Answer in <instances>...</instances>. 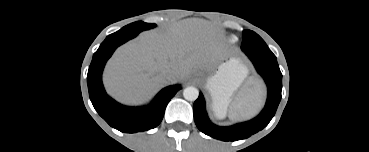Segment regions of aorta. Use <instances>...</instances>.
Listing matches in <instances>:
<instances>
[{
    "label": "aorta",
    "instance_id": "762f6f07",
    "mask_svg": "<svg viewBox=\"0 0 369 152\" xmlns=\"http://www.w3.org/2000/svg\"><path fill=\"white\" fill-rule=\"evenodd\" d=\"M183 96L188 101H195L199 96V91L193 86H189L184 89Z\"/></svg>",
    "mask_w": 369,
    "mask_h": 152
}]
</instances>
